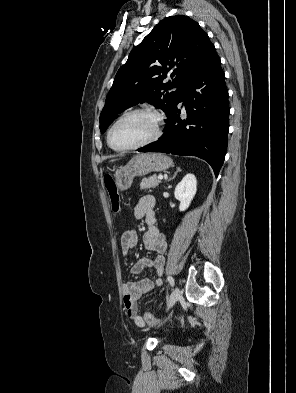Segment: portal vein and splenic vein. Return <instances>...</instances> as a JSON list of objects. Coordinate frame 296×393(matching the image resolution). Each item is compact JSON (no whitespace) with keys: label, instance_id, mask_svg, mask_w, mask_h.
Listing matches in <instances>:
<instances>
[{"label":"portal vein and splenic vein","instance_id":"1","mask_svg":"<svg viewBox=\"0 0 296 393\" xmlns=\"http://www.w3.org/2000/svg\"><path fill=\"white\" fill-rule=\"evenodd\" d=\"M158 179H159V180H162V179H163V175H159V176H158Z\"/></svg>","mask_w":296,"mask_h":393}]
</instances>
